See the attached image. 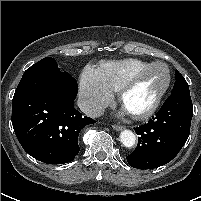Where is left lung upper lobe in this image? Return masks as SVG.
<instances>
[{
    "instance_id": "5c2ea615",
    "label": "left lung upper lobe",
    "mask_w": 201,
    "mask_h": 201,
    "mask_svg": "<svg viewBox=\"0 0 201 201\" xmlns=\"http://www.w3.org/2000/svg\"><path fill=\"white\" fill-rule=\"evenodd\" d=\"M176 81L171 93L181 91V90H189L188 83L185 78L176 70L175 71Z\"/></svg>"
}]
</instances>
